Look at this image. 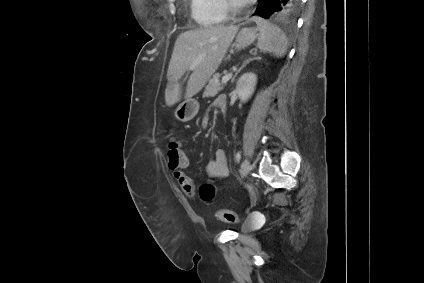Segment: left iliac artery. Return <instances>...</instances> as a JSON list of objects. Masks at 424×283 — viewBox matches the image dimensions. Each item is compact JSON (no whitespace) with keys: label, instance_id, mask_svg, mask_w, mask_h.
Segmentation results:
<instances>
[{"label":"left iliac artery","instance_id":"obj_1","mask_svg":"<svg viewBox=\"0 0 424 283\" xmlns=\"http://www.w3.org/2000/svg\"><path fill=\"white\" fill-rule=\"evenodd\" d=\"M240 159H241V154H240V152H237L236 153V160L239 161Z\"/></svg>","mask_w":424,"mask_h":283}]
</instances>
